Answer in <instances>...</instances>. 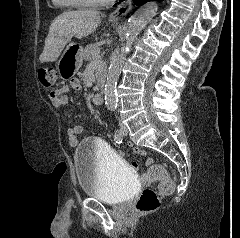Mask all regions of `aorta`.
I'll use <instances>...</instances> for the list:
<instances>
[{"label": "aorta", "instance_id": "aorta-1", "mask_svg": "<svg viewBox=\"0 0 240 238\" xmlns=\"http://www.w3.org/2000/svg\"><path fill=\"white\" fill-rule=\"evenodd\" d=\"M157 10V2L150 1L138 9L129 19V26L126 33V43L121 47L120 52L113 57L106 78L104 89L105 105L110 111H115L117 107V81L121 73L122 66L126 60V56L130 52L131 47L141 30L154 17Z\"/></svg>", "mask_w": 240, "mask_h": 238}]
</instances>
